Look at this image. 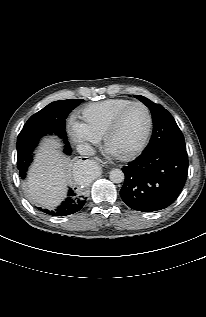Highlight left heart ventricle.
Masks as SVG:
<instances>
[{
    "instance_id": "left-heart-ventricle-1",
    "label": "left heart ventricle",
    "mask_w": 206,
    "mask_h": 317,
    "mask_svg": "<svg viewBox=\"0 0 206 317\" xmlns=\"http://www.w3.org/2000/svg\"><path fill=\"white\" fill-rule=\"evenodd\" d=\"M147 127V116L141 106L132 107L123 117L109 140V146L116 153H126L142 142Z\"/></svg>"
}]
</instances>
